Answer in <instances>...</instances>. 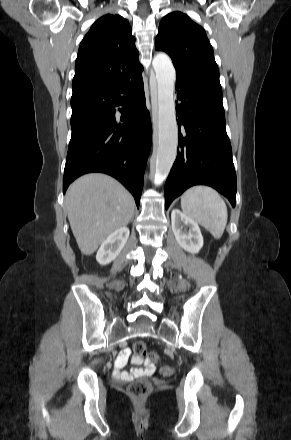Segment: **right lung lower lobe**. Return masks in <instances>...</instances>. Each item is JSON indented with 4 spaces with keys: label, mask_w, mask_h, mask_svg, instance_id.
Returning <instances> with one entry per match:
<instances>
[{
    "label": "right lung lower lobe",
    "mask_w": 291,
    "mask_h": 440,
    "mask_svg": "<svg viewBox=\"0 0 291 440\" xmlns=\"http://www.w3.org/2000/svg\"><path fill=\"white\" fill-rule=\"evenodd\" d=\"M71 107L63 192L77 177L103 172L119 180L139 207L152 135L142 71L115 86L73 94Z\"/></svg>",
    "instance_id": "right-lung-lower-lobe-1"
}]
</instances>
